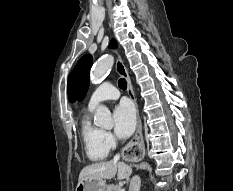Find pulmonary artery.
Instances as JSON below:
<instances>
[{
  "mask_svg": "<svg viewBox=\"0 0 233 191\" xmlns=\"http://www.w3.org/2000/svg\"><path fill=\"white\" fill-rule=\"evenodd\" d=\"M118 97V89L110 82H104L91 95L88 102V108L89 110H93L100 103L109 100H116Z\"/></svg>",
  "mask_w": 233,
  "mask_h": 191,
  "instance_id": "1",
  "label": "pulmonary artery"
}]
</instances>
